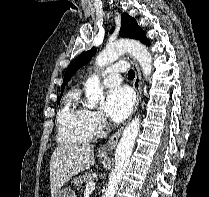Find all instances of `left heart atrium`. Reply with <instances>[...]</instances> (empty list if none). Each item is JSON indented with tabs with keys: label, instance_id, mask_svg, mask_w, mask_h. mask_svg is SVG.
Wrapping results in <instances>:
<instances>
[{
	"label": "left heart atrium",
	"instance_id": "39dd6f15",
	"mask_svg": "<svg viewBox=\"0 0 209 197\" xmlns=\"http://www.w3.org/2000/svg\"><path fill=\"white\" fill-rule=\"evenodd\" d=\"M134 103L132 91L126 86L112 88L105 99L104 110L114 122L124 120L130 113Z\"/></svg>",
	"mask_w": 209,
	"mask_h": 197
}]
</instances>
